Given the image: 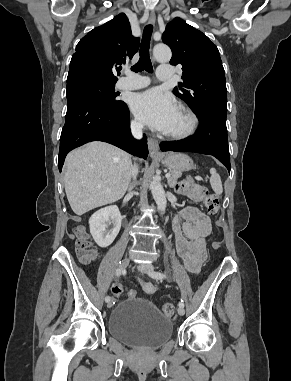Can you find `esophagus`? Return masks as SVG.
Wrapping results in <instances>:
<instances>
[{"instance_id":"obj_1","label":"esophagus","mask_w":291,"mask_h":381,"mask_svg":"<svg viewBox=\"0 0 291 381\" xmlns=\"http://www.w3.org/2000/svg\"><path fill=\"white\" fill-rule=\"evenodd\" d=\"M148 24L154 25L155 20H156V15L154 11H151L148 16ZM148 148H149V153L150 155H159V143L155 138H149L148 139Z\"/></svg>"}]
</instances>
